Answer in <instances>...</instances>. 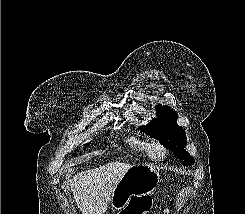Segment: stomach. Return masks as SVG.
I'll list each match as a JSON object with an SVG mask.
<instances>
[{
  "instance_id": "0dacf381",
  "label": "stomach",
  "mask_w": 245,
  "mask_h": 214,
  "mask_svg": "<svg viewBox=\"0 0 245 214\" xmlns=\"http://www.w3.org/2000/svg\"><path fill=\"white\" fill-rule=\"evenodd\" d=\"M160 182L159 173L150 165H133L116 184L110 199L112 209L125 208L132 196L153 193Z\"/></svg>"
}]
</instances>
